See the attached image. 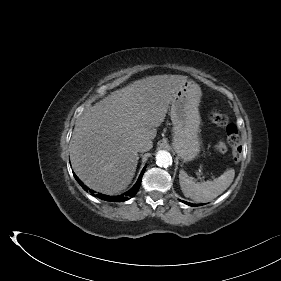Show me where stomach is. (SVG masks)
<instances>
[{"label": "stomach", "mask_w": 281, "mask_h": 281, "mask_svg": "<svg viewBox=\"0 0 281 281\" xmlns=\"http://www.w3.org/2000/svg\"><path fill=\"white\" fill-rule=\"evenodd\" d=\"M201 89L192 80L185 81L175 92L170 117L173 123V148L183 162L195 159L200 152Z\"/></svg>", "instance_id": "1"}]
</instances>
